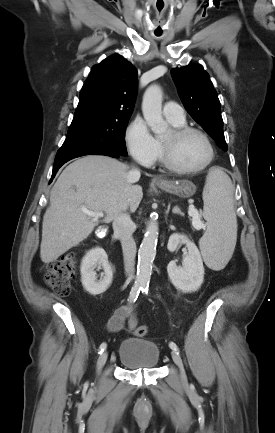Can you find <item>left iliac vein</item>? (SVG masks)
I'll list each match as a JSON object with an SVG mask.
<instances>
[{"instance_id": "1", "label": "left iliac vein", "mask_w": 275, "mask_h": 433, "mask_svg": "<svg viewBox=\"0 0 275 433\" xmlns=\"http://www.w3.org/2000/svg\"><path fill=\"white\" fill-rule=\"evenodd\" d=\"M171 355H172V359H173L174 363L180 369V374H181L182 380L186 381V374H185L183 362H182L180 355L176 351H172Z\"/></svg>"}]
</instances>
